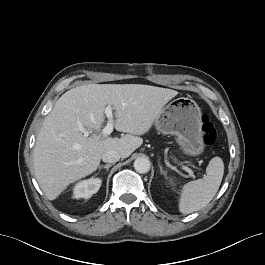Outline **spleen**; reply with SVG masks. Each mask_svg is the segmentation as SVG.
<instances>
[{"label":"spleen","mask_w":265,"mask_h":265,"mask_svg":"<svg viewBox=\"0 0 265 265\" xmlns=\"http://www.w3.org/2000/svg\"><path fill=\"white\" fill-rule=\"evenodd\" d=\"M224 174V163L220 157L210 160L206 175L186 183L181 190L179 211L190 214L206 207L217 193Z\"/></svg>","instance_id":"1"}]
</instances>
